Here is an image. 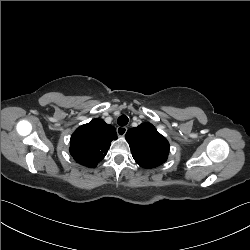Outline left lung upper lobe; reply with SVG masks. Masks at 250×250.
Returning a JSON list of instances; mask_svg holds the SVG:
<instances>
[{"label": "left lung upper lobe", "instance_id": "1", "mask_svg": "<svg viewBox=\"0 0 250 250\" xmlns=\"http://www.w3.org/2000/svg\"><path fill=\"white\" fill-rule=\"evenodd\" d=\"M134 160L144 168H154L164 163L169 153V143L150 123L131 128L125 136Z\"/></svg>", "mask_w": 250, "mask_h": 250}]
</instances>
